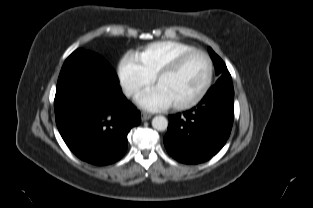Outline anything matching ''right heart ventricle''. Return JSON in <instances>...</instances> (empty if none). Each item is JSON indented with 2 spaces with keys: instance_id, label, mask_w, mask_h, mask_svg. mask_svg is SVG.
<instances>
[{
  "instance_id": "e07e8e85",
  "label": "right heart ventricle",
  "mask_w": 313,
  "mask_h": 208,
  "mask_svg": "<svg viewBox=\"0 0 313 208\" xmlns=\"http://www.w3.org/2000/svg\"><path fill=\"white\" fill-rule=\"evenodd\" d=\"M196 47L181 41L165 40L147 45L135 55L139 64L151 75L171 63L181 54L195 50Z\"/></svg>"
}]
</instances>
